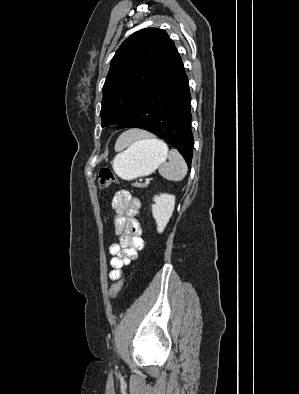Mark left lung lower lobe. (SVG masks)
<instances>
[{"instance_id":"left-lung-lower-lobe-1","label":"left lung lower lobe","mask_w":299,"mask_h":394,"mask_svg":"<svg viewBox=\"0 0 299 394\" xmlns=\"http://www.w3.org/2000/svg\"><path fill=\"white\" fill-rule=\"evenodd\" d=\"M191 95L188 78L179 56L147 88L132 113L117 129H145L172 144L189 169L193 156Z\"/></svg>"}]
</instances>
